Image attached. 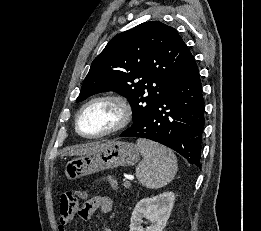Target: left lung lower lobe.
<instances>
[{
  "label": "left lung lower lobe",
  "mask_w": 261,
  "mask_h": 231,
  "mask_svg": "<svg viewBox=\"0 0 261 231\" xmlns=\"http://www.w3.org/2000/svg\"><path fill=\"white\" fill-rule=\"evenodd\" d=\"M204 99L197 64L174 84L143 119L120 137H141L159 142L201 167V143L205 125Z\"/></svg>",
  "instance_id": "0a47b994"
}]
</instances>
